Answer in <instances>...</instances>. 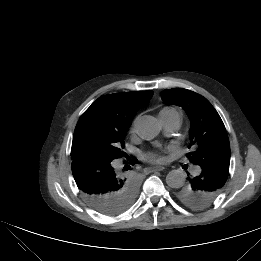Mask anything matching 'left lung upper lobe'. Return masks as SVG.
Wrapping results in <instances>:
<instances>
[{"instance_id":"obj_1","label":"left lung upper lobe","mask_w":261,"mask_h":261,"mask_svg":"<svg viewBox=\"0 0 261 261\" xmlns=\"http://www.w3.org/2000/svg\"><path fill=\"white\" fill-rule=\"evenodd\" d=\"M162 100L181 106L190 118L189 148L195 147V151L187 155L190 162L199 166L207 161L230 162V145L225 126L206 98L193 91L177 88L164 90ZM218 194L207 197L186 184L178 189L176 197L193 209H202L210 205Z\"/></svg>"}]
</instances>
